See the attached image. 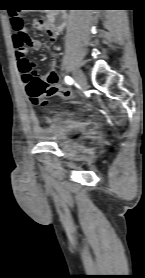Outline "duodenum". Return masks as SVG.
<instances>
[{
	"label": "duodenum",
	"mask_w": 145,
	"mask_h": 278,
	"mask_svg": "<svg viewBox=\"0 0 145 278\" xmlns=\"http://www.w3.org/2000/svg\"><path fill=\"white\" fill-rule=\"evenodd\" d=\"M67 23V17L64 12H54L47 17V27L56 33H59Z\"/></svg>",
	"instance_id": "obj_1"
}]
</instances>
